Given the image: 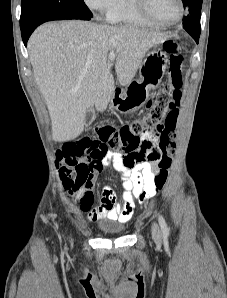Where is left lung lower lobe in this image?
<instances>
[{
    "instance_id": "obj_1",
    "label": "left lung lower lobe",
    "mask_w": 227,
    "mask_h": 298,
    "mask_svg": "<svg viewBox=\"0 0 227 298\" xmlns=\"http://www.w3.org/2000/svg\"><path fill=\"white\" fill-rule=\"evenodd\" d=\"M195 41L198 43V41H199V38H196V39H195Z\"/></svg>"
}]
</instances>
